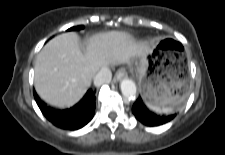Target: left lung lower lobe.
Returning <instances> with one entry per match:
<instances>
[{
    "label": "left lung lower lobe",
    "instance_id": "0a47b994",
    "mask_svg": "<svg viewBox=\"0 0 225 155\" xmlns=\"http://www.w3.org/2000/svg\"><path fill=\"white\" fill-rule=\"evenodd\" d=\"M132 112L135 115L136 119L146 126H159V125L165 124L171 121L176 115L174 114V115L162 116V115H156L155 113H152L146 108L140 96L135 101L132 107Z\"/></svg>",
    "mask_w": 225,
    "mask_h": 155
}]
</instances>
